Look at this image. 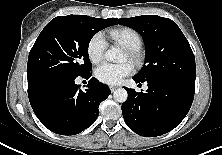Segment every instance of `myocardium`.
Instances as JSON below:
<instances>
[{
    "mask_svg": "<svg viewBox=\"0 0 222 155\" xmlns=\"http://www.w3.org/2000/svg\"><path fill=\"white\" fill-rule=\"evenodd\" d=\"M127 55L132 62L136 64H139L141 62V54L139 50L127 49Z\"/></svg>",
    "mask_w": 222,
    "mask_h": 155,
    "instance_id": "f54148a6",
    "label": "myocardium"
}]
</instances>
